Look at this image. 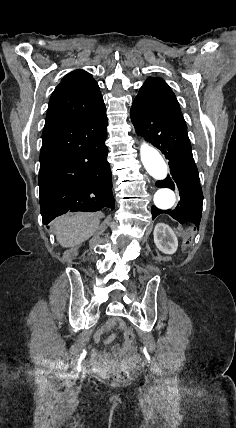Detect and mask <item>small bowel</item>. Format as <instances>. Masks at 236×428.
<instances>
[{
  "instance_id": "c3829d8e",
  "label": "small bowel",
  "mask_w": 236,
  "mask_h": 428,
  "mask_svg": "<svg viewBox=\"0 0 236 428\" xmlns=\"http://www.w3.org/2000/svg\"><path fill=\"white\" fill-rule=\"evenodd\" d=\"M116 328L125 330V324L120 319L111 318L96 332L94 336L95 342H100L101 338L105 334ZM113 338V335L109 336L107 342H111ZM91 356L93 358V363L102 371L107 370L110 366L116 363L131 365L139 361V356L128 344H124L122 346L114 345L109 353L101 352L93 348L91 349Z\"/></svg>"
}]
</instances>
